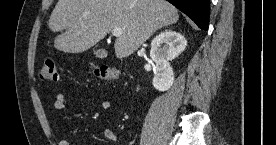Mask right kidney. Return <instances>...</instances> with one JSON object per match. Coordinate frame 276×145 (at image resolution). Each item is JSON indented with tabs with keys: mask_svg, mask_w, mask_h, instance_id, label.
<instances>
[{
	"mask_svg": "<svg viewBox=\"0 0 276 145\" xmlns=\"http://www.w3.org/2000/svg\"><path fill=\"white\" fill-rule=\"evenodd\" d=\"M186 39L178 32L165 30L151 41L150 57L156 63L153 87L167 91L174 83V73L169 61L178 57L186 48Z\"/></svg>",
	"mask_w": 276,
	"mask_h": 145,
	"instance_id": "obj_1",
	"label": "right kidney"
}]
</instances>
